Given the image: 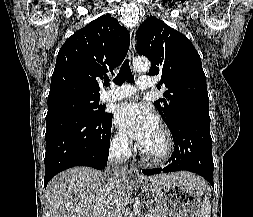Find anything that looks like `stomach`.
<instances>
[{"label":"stomach","mask_w":253,"mask_h":217,"mask_svg":"<svg viewBox=\"0 0 253 217\" xmlns=\"http://www.w3.org/2000/svg\"><path fill=\"white\" fill-rule=\"evenodd\" d=\"M139 186L154 198L164 217H201V188L187 186L172 179L156 185L145 181Z\"/></svg>","instance_id":"0dacf381"}]
</instances>
